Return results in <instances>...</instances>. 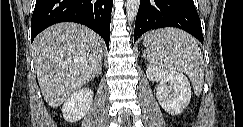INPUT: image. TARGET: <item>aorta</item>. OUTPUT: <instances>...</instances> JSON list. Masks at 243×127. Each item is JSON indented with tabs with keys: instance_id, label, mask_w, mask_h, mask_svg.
Returning <instances> with one entry per match:
<instances>
[{
	"instance_id": "762f6f07",
	"label": "aorta",
	"mask_w": 243,
	"mask_h": 127,
	"mask_svg": "<svg viewBox=\"0 0 243 127\" xmlns=\"http://www.w3.org/2000/svg\"><path fill=\"white\" fill-rule=\"evenodd\" d=\"M139 5H140V0H127L126 14L129 23L134 21L139 9Z\"/></svg>"
}]
</instances>
